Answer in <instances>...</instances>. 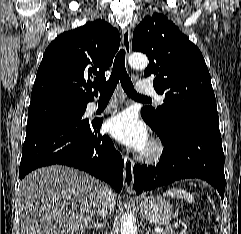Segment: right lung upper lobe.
<instances>
[{
    "label": "right lung upper lobe",
    "instance_id": "cb5924a9",
    "mask_svg": "<svg viewBox=\"0 0 241 234\" xmlns=\"http://www.w3.org/2000/svg\"><path fill=\"white\" fill-rule=\"evenodd\" d=\"M119 44L118 30L103 20L60 34L43 55L30 105L92 101L98 94L92 92V80H105V71L112 65Z\"/></svg>",
    "mask_w": 241,
    "mask_h": 234
}]
</instances>
